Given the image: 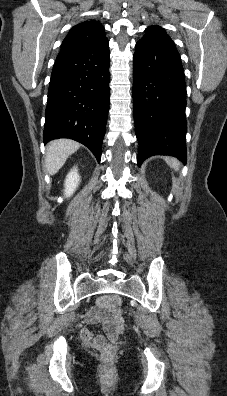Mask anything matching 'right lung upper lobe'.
<instances>
[{
    "label": "right lung upper lobe",
    "instance_id": "cb5924a9",
    "mask_svg": "<svg viewBox=\"0 0 227 396\" xmlns=\"http://www.w3.org/2000/svg\"><path fill=\"white\" fill-rule=\"evenodd\" d=\"M104 27L95 20L85 21L72 27L62 42L60 52L75 51L106 41Z\"/></svg>",
    "mask_w": 227,
    "mask_h": 396
}]
</instances>
